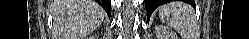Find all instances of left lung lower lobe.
Returning a JSON list of instances; mask_svg holds the SVG:
<instances>
[{
	"label": "left lung lower lobe",
	"instance_id": "left-lung-lower-lobe-1",
	"mask_svg": "<svg viewBox=\"0 0 249 39\" xmlns=\"http://www.w3.org/2000/svg\"><path fill=\"white\" fill-rule=\"evenodd\" d=\"M147 9V16L150 18L151 13L161 4L168 2V0H144ZM189 4L195 7V3L192 0H186Z\"/></svg>",
	"mask_w": 249,
	"mask_h": 39
}]
</instances>
